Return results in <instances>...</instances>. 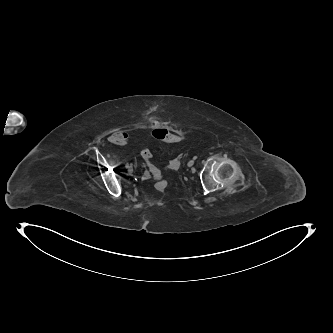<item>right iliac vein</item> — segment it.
Segmentation results:
<instances>
[{
    "instance_id": "63e3f726",
    "label": "right iliac vein",
    "mask_w": 333,
    "mask_h": 333,
    "mask_svg": "<svg viewBox=\"0 0 333 333\" xmlns=\"http://www.w3.org/2000/svg\"><path fill=\"white\" fill-rule=\"evenodd\" d=\"M129 174L131 175L132 174V172H133V168L131 167V168H129Z\"/></svg>"
}]
</instances>
